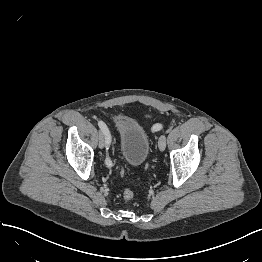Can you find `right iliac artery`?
Instances as JSON below:
<instances>
[{"label":"right iliac artery","mask_w":262,"mask_h":262,"mask_svg":"<svg viewBox=\"0 0 262 262\" xmlns=\"http://www.w3.org/2000/svg\"><path fill=\"white\" fill-rule=\"evenodd\" d=\"M98 125H99L100 129L103 131V133L105 134L106 144H107V146H109V144H110V142H111V135H110V132H109L107 126H106L105 123L102 122V121H99V122H98ZM107 149H108V148H107ZM106 164H107L108 166H112V161L110 160V158H109L108 156L106 157Z\"/></svg>","instance_id":"82829eb1"}]
</instances>
